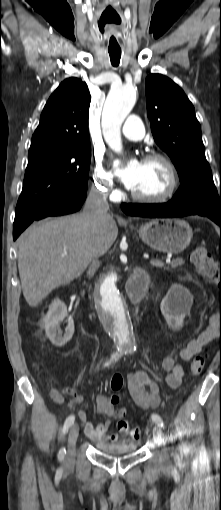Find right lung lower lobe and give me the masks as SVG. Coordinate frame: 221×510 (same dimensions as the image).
I'll return each mask as SVG.
<instances>
[{"label":"right lung lower lobe","instance_id":"98d812e1","mask_svg":"<svg viewBox=\"0 0 221 510\" xmlns=\"http://www.w3.org/2000/svg\"><path fill=\"white\" fill-rule=\"evenodd\" d=\"M87 188L78 191L77 193L65 197L56 203L46 207L42 211L27 217L22 218L15 214L13 224V239L16 240L25 228L34 220H40L48 216H60L78 211L86 199Z\"/></svg>","mask_w":221,"mask_h":510}]
</instances>
